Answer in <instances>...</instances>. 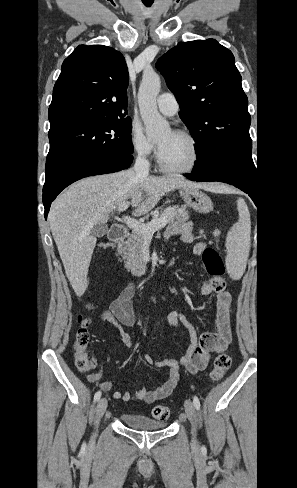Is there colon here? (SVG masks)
<instances>
[{
  "label": "colon",
  "mask_w": 297,
  "mask_h": 488,
  "mask_svg": "<svg viewBox=\"0 0 297 488\" xmlns=\"http://www.w3.org/2000/svg\"><path fill=\"white\" fill-rule=\"evenodd\" d=\"M102 249L111 248V244L104 242L100 244ZM203 262L207 273L211 277V283L216 292H225L226 280L224 278L225 267L219 253L214 249H206L203 253ZM79 326L76 331L74 348H75V365L82 371L87 372L94 366V360L87 351L89 342L88 328L90 319L84 315L78 318ZM231 365V357L227 351H221L214 359L210 378L213 382L219 381ZM170 415L167 407L156 405L152 409V416L158 420H166Z\"/></svg>",
  "instance_id": "5ec220e1"
}]
</instances>
